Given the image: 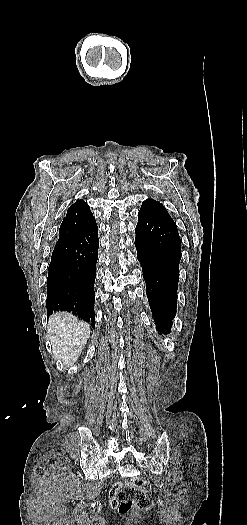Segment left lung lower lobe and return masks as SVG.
<instances>
[{
  "mask_svg": "<svg viewBox=\"0 0 247 525\" xmlns=\"http://www.w3.org/2000/svg\"><path fill=\"white\" fill-rule=\"evenodd\" d=\"M135 233L137 258L156 328L168 333L176 314L181 259L177 227L158 217L138 215Z\"/></svg>",
  "mask_w": 247,
  "mask_h": 525,
  "instance_id": "obj_1",
  "label": "left lung lower lobe"
}]
</instances>
